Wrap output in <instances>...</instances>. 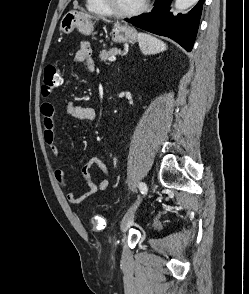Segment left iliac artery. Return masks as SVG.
I'll return each instance as SVG.
<instances>
[{"instance_id": "44dca946", "label": "left iliac artery", "mask_w": 249, "mask_h": 294, "mask_svg": "<svg viewBox=\"0 0 249 294\" xmlns=\"http://www.w3.org/2000/svg\"><path fill=\"white\" fill-rule=\"evenodd\" d=\"M139 189H140V192H141L142 194H146V192H147V186H146L145 183L140 182V183H139Z\"/></svg>"}]
</instances>
